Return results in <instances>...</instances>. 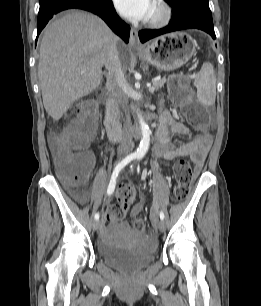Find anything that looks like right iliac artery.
Instances as JSON below:
<instances>
[{
	"instance_id": "obj_1",
	"label": "right iliac artery",
	"mask_w": 261,
	"mask_h": 306,
	"mask_svg": "<svg viewBox=\"0 0 261 306\" xmlns=\"http://www.w3.org/2000/svg\"><path fill=\"white\" fill-rule=\"evenodd\" d=\"M136 158L135 155H128L127 157H125L121 162H119L113 173H112V176H111V179H110V182H109V185H108V189H107V194L108 195H111L114 190H115V187H116V180H117V177H118V174L120 173V171L128 164L130 163L132 160H134ZM99 213H96L94 218L95 220H99Z\"/></svg>"
}]
</instances>
